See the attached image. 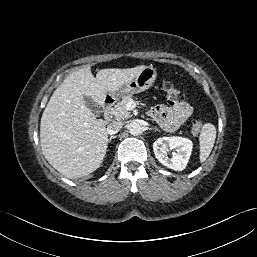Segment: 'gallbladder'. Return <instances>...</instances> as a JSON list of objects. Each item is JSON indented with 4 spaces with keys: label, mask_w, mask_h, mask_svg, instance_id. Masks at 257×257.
<instances>
[{
    "label": "gallbladder",
    "mask_w": 257,
    "mask_h": 257,
    "mask_svg": "<svg viewBox=\"0 0 257 257\" xmlns=\"http://www.w3.org/2000/svg\"><path fill=\"white\" fill-rule=\"evenodd\" d=\"M85 105L90 108V110L96 115L100 116L101 112L99 110V107L93 102V100L89 97L84 98Z\"/></svg>",
    "instance_id": "gallbladder-1"
}]
</instances>
